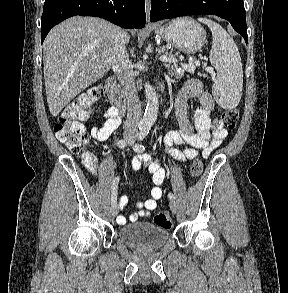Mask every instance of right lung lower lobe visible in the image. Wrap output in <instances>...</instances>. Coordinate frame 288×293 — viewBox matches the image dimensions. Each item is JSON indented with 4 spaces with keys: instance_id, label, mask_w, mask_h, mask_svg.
<instances>
[{
    "instance_id": "obj_1",
    "label": "right lung lower lobe",
    "mask_w": 288,
    "mask_h": 293,
    "mask_svg": "<svg viewBox=\"0 0 288 293\" xmlns=\"http://www.w3.org/2000/svg\"><path fill=\"white\" fill-rule=\"evenodd\" d=\"M75 15L101 17L123 28H142L146 23L145 0H45L41 42L52 27Z\"/></svg>"
}]
</instances>
